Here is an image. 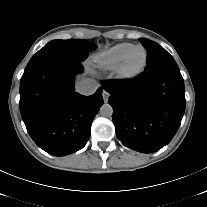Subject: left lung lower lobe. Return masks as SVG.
<instances>
[{
    "label": "left lung lower lobe",
    "instance_id": "left-lung-lower-lobe-1",
    "mask_svg": "<svg viewBox=\"0 0 207 207\" xmlns=\"http://www.w3.org/2000/svg\"><path fill=\"white\" fill-rule=\"evenodd\" d=\"M116 136L142 153L156 152L176 134L185 112L183 77L175 61L144 69L134 79L103 80Z\"/></svg>",
    "mask_w": 207,
    "mask_h": 207
}]
</instances>
